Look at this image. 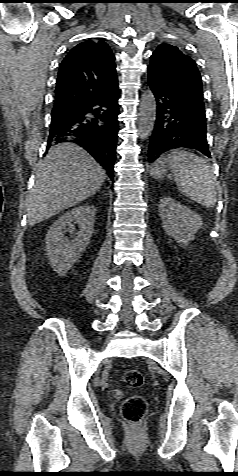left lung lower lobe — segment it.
Returning <instances> with one entry per match:
<instances>
[{
	"label": "left lung lower lobe",
	"mask_w": 238,
	"mask_h": 476,
	"mask_svg": "<svg viewBox=\"0 0 238 476\" xmlns=\"http://www.w3.org/2000/svg\"><path fill=\"white\" fill-rule=\"evenodd\" d=\"M148 84L156 100L148 161L153 162L164 152L178 148L194 149L210 158L204 103L177 93L150 72Z\"/></svg>",
	"instance_id": "0a47b994"
}]
</instances>
